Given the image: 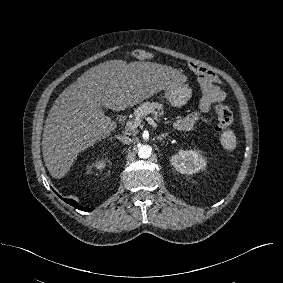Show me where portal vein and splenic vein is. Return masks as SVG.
Masks as SVG:
<instances>
[{"label":"portal vein and splenic vein","instance_id":"18ae733b","mask_svg":"<svg viewBox=\"0 0 283 283\" xmlns=\"http://www.w3.org/2000/svg\"><path fill=\"white\" fill-rule=\"evenodd\" d=\"M146 121L154 128L157 127V124L154 122V120L150 117H147L146 118ZM126 127L128 129H135L136 127H138V124L136 122H133V121H130V120H127L126 121Z\"/></svg>","mask_w":283,"mask_h":283}]
</instances>
